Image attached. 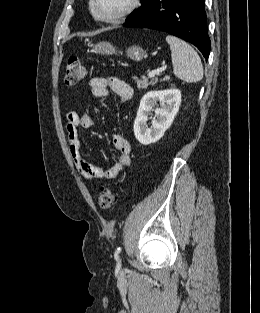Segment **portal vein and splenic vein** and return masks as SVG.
I'll return each mask as SVG.
<instances>
[{
  "label": "portal vein and splenic vein",
  "mask_w": 260,
  "mask_h": 313,
  "mask_svg": "<svg viewBox=\"0 0 260 313\" xmlns=\"http://www.w3.org/2000/svg\"><path fill=\"white\" fill-rule=\"evenodd\" d=\"M164 71V69H157V70H153L151 71L148 76L150 78L154 77L155 75H160V73H162Z\"/></svg>",
  "instance_id": "portal-vein-and-splenic-vein-1"
}]
</instances>
